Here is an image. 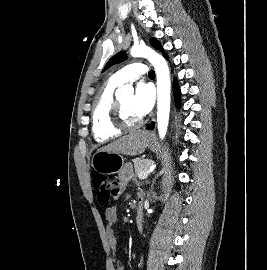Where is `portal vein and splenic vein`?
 Returning <instances> with one entry per match:
<instances>
[{
  "mask_svg": "<svg viewBox=\"0 0 267 270\" xmlns=\"http://www.w3.org/2000/svg\"><path fill=\"white\" fill-rule=\"evenodd\" d=\"M155 167H156L155 164L151 165V167L149 168V170L147 172H145L144 174L140 175L139 178L142 179V178H145V177L149 176L150 173L154 170Z\"/></svg>",
  "mask_w": 267,
  "mask_h": 270,
  "instance_id": "obj_1",
  "label": "portal vein and splenic vein"
}]
</instances>
